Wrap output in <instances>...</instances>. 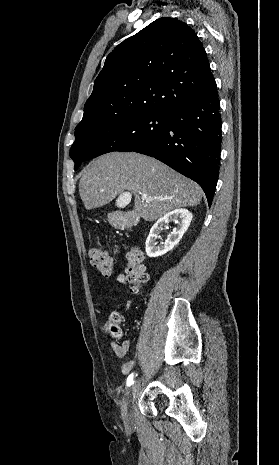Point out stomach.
Here are the masks:
<instances>
[{"instance_id":"0dacf381","label":"stomach","mask_w":279,"mask_h":465,"mask_svg":"<svg viewBox=\"0 0 279 465\" xmlns=\"http://www.w3.org/2000/svg\"><path fill=\"white\" fill-rule=\"evenodd\" d=\"M108 220L114 227L121 228L128 225V220L120 213L108 214Z\"/></svg>"}]
</instances>
